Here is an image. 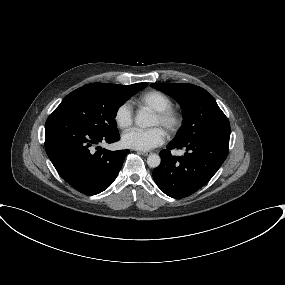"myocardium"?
Masks as SVG:
<instances>
[{
  "label": "myocardium",
  "instance_id": "myocardium-1",
  "mask_svg": "<svg viewBox=\"0 0 285 285\" xmlns=\"http://www.w3.org/2000/svg\"><path fill=\"white\" fill-rule=\"evenodd\" d=\"M155 116L159 119L161 127L170 135L176 134L183 123L181 112L173 107L156 111Z\"/></svg>",
  "mask_w": 285,
  "mask_h": 285
}]
</instances>
